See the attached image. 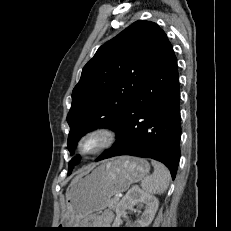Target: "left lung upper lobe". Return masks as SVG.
<instances>
[{"instance_id":"5c2ea615","label":"left lung upper lobe","mask_w":231,"mask_h":231,"mask_svg":"<svg viewBox=\"0 0 231 231\" xmlns=\"http://www.w3.org/2000/svg\"><path fill=\"white\" fill-rule=\"evenodd\" d=\"M166 39L156 23L139 20L100 46L72 92L67 115L69 147L96 128H116ZM69 150L73 155V149ZM79 159L75 156L70 160L68 174Z\"/></svg>"}]
</instances>
